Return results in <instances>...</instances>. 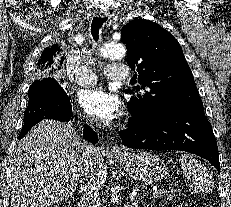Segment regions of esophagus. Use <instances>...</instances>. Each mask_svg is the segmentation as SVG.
I'll return each mask as SVG.
<instances>
[{
  "mask_svg": "<svg viewBox=\"0 0 231 207\" xmlns=\"http://www.w3.org/2000/svg\"><path fill=\"white\" fill-rule=\"evenodd\" d=\"M98 15L101 17V18H104V17H108L109 16V13L107 11H100L98 13ZM123 147L121 145H118L117 143H112L111 144V150L114 152V153H119V152H122L123 151Z\"/></svg>",
  "mask_w": 231,
  "mask_h": 207,
  "instance_id": "34e87169",
  "label": "esophagus"
}]
</instances>
